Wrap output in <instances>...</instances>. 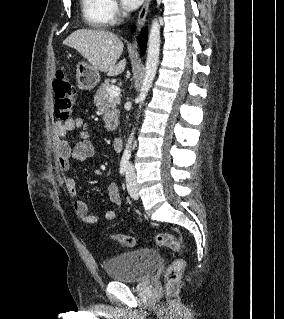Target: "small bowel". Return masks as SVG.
<instances>
[{"mask_svg": "<svg viewBox=\"0 0 284 319\" xmlns=\"http://www.w3.org/2000/svg\"><path fill=\"white\" fill-rule=\"evenodd\" d=\"M80 130V138L74 146H71L68 135L73 130ZM54 148L57 155L58 166L61 171L68 173L71 170L72 160L85 161L95 155V148L89 140V135L86 129V123L81 117L70 118L66 121H57L54 124ZM64 185L72 196H76V182L68 174L64 176ZM107 193L110 201L119 206L121 196L118 185L110 183L107 186ZM73 208L76 215L85 223L95 224L99 218L89 212L87 203L84 200L76 199L73 202ZM117 217L115 208H110L105 213V219L112 221Z\"/></svg>", "mask_w": 284, "mask_h": 319, "instance_id": "1", "label": "small bowel"}]
</instances>
